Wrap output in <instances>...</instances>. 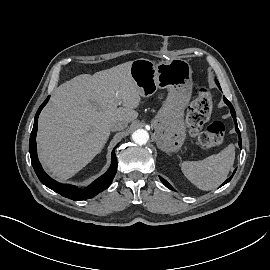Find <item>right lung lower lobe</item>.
I'll list each match as a JSON object with an SVG mask.
<instances>
[{
	"label": "right lung lower lobe",
	"mask_w": 270,
	"mask_h": 270,
	"mask_svg": "<svg viewBox=\"0 0 270 270\" xmlns=\"http://www.w3.org/2000/svg\"><path fill=\"white\" fill-rule=\"evenodd\" d=\"M49 97L42 103L39 107L34 120L33 129L30 135V143H29V151L31 162L33 168L39 178V180L48 188L54 190L55 192L61 194L64 197L69 199L80 201L92 198L96 196L98 193L104 191L106 188L110 186L112 180L117 171V159L115 156V148L112 151V163L108 171L95 180L89 187L84 190L77 188L76 186H72L69 184H61L50 178L42 169L40 162L37 158V150H36V133H37V125H38V116L42 110V108L46 105Z\"/></svg>",
	"instance_id": "98d812e1"
}]
</instances>
